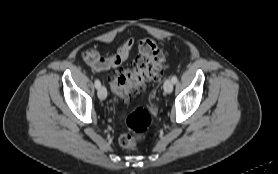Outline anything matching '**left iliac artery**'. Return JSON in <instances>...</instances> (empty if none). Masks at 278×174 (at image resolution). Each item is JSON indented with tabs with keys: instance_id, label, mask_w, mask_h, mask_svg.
Here are the masks:
<instances>
[{
	"instance_id": "44dca946",
	"label": "left iliac artery",
	"mask_w": 278,
	"mask_h": 174,
	"mask_svg": "<svg viewBox=\"0 0 278 174\" xmlns=\"http://www.w3.org/2000/svg\"><path fill=\"white\" fill-rule=\"evenodd\" d=\"M171 81L173 82V84H176L178 79L175 75L172 76Z\"/></svg>"
}]
</instances>
